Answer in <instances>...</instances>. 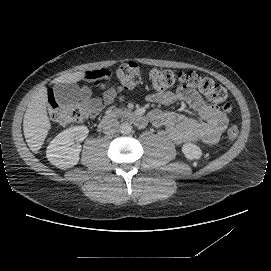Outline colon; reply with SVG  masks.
Returning <instances> with one entry per match:
<instances>
[{
	"mask_svg": "<svg viewBox=\"0 0 271 271\" xmlns=\"http://www.w3.org/2000/svg\"><path fill=\"white\" fill-rule=\"evenodd\" d=\"M113 75L107 71L97 77L93 82L96 86L101 84L105 88H114L119 91H128L136 87L141 81V72L137 63L126 62L116 69V81H112ZM149 88L154 93H162L175 84H184L203 94L207 100L224 113L231 111V106L225 103L227 91L221 85L216 84L211 78L203 77L195 71L175 72L167 69H152L148 73ZM49 116L57 123L69 125L84 121L90 114L98 109L93 103L88 106L62 105L53 92L48 95ZM238 135V128L231 126L227 132L228 142H232Z\"/></svg>",
	"mask_w": 271,
	"mask_h": 271,
	"instance_id": "5ec220e1",
	"label": "colon"
}]
</instances>
